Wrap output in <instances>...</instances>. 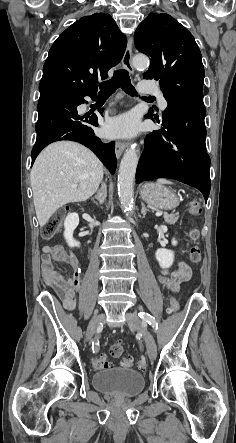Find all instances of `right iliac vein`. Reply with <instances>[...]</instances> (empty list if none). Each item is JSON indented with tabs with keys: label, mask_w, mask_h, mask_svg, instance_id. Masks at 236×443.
I'll return each instance as SVG.
<instances>
[{
	"label": "right iliac vein",
	"mask_w": 236,
	"mask_h": 443,
	"mask_svg": "<svg viewBox=\"0 0 236 443\" xmlns=\"http://www.w3.org/2000/svg\"><path fill=\"white\" fill-rule=\"evenodd\" d=\"M104 318H105V314L102 313V314L94 317L90 321V323H89V325L87 327V330H86V340L87 341L91 340V338H92V336H93L97 326L99 325L100 322H102L104 320Z\"/></svg>",
	"instance_id": "1"
}]
</instances>
